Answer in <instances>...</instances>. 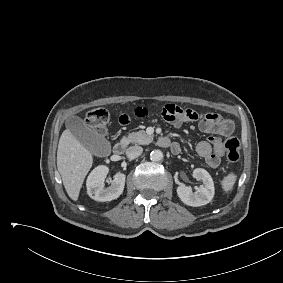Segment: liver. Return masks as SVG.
Returning <instances> with one entry per match:
<instances>
[{"mask_svg": "<svg viewBox=\"0 0 283 283\" xmlns=\"http://www.w3.org/2000/svg\"><path fill=\"white\" fill-rule=\"evenodd\" d=\"M93 164L92 153L66 129L59 139L57 168L69 197L77 201L86 175Z\"/></svg>", "mask_w": 283, "mask_h": 283, "instance_id": "obj_1", "label": "liver"}]
</instances>
